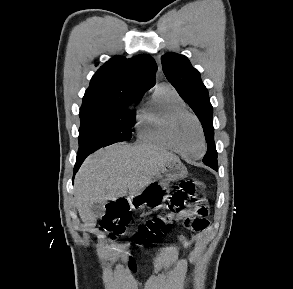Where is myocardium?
<instances>
[{"mask_svg":"<svg viewBox=\"0 0 293 289\" xmlns=\"http://www.w3.org/2000/svg\"><path fill=\"white\" fill-rule=\"evenodd\" d=\"M184 117L192 118L195 121V123L199 129L201 139H202V149H201L200 154L197 156H189V155L185 154L179 148V146L177 144L176 136H175L176 125H177V122ZM167 137H168V141L171 144L173 150L185 159L197 160V159H200L205 154V151L207 148V143H206V137H205L203 126H202L199 118L194 113L190 112L187 109L177 110L170 116L168 124H167Z\"/></svg>","mask_w":293,"mask_h":289,"instance_id":"1","label":"myocardium"}]
</instances>
